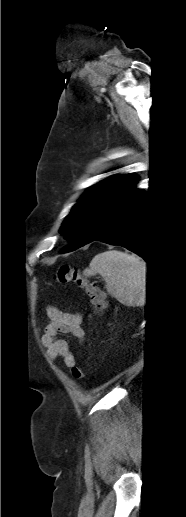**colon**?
<instances>
[{"label": "colon", "mask_w": 186, "mask_h": 517, "mask_svg": "<svg viewBox=\"0 0 186 517\" xmlns=\"http://www.w3.org/2000/svg\"><path fill=\"white\" fill-rule=\"evenodd\" d=\"M60 284H74L83 289L93 306L94 313L98 314L105 310L107 302L106 295L97 283L89 281L81 272L80 268L71 265H62L55 274ZM74 379L80 380L84 377V368L74 365L71 368Z\"/></svg>", "instance_id": "5ec220e1"}]
</instances>
